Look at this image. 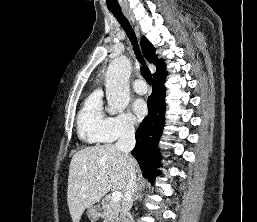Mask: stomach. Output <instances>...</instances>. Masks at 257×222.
<instances>
[{"label": "stomach", "mask_w": 257, "mask_h": 222, "mask_svg": "<svg viewBox=\"0 0 257 222\" xmlns=\"http://www.w3.org/2000/svg\"><path fill=\"white\" fill-rule=\"evenodd\" d=\"M86 213H87L88 218L92 222L96 221L99 218V212H98V209L96 207H89L87 209Z\"/></svg>", "instance_id": "obj_1"}]
</instances>
